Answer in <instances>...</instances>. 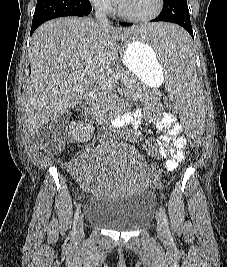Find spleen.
<instances>
[{
  "mask_svg": "<svg viewBox=\"0 0 227 267\" xmlns=\"http://www.w3.org/2000/svg\"><path fill=\"white\" fill-rule=\"evenodd\" d=\"M134 33H126L127 43H145L146 47H154L157 59H164L169 63L163 81L170 97L180 104L199 106H179L178 115H204L202 110L203 94L198 82L194 53L191 47L193 42L181 29L177 22H140L131 25ZM182 125H185L184 137L189 140H204L206 124L202 116H180Z\"/></svg>",
  "mask_w": 227,
  "mask_h": 267,
  "instance_id": "obj_1",
  "label": "spleen"
}]
</instances>
